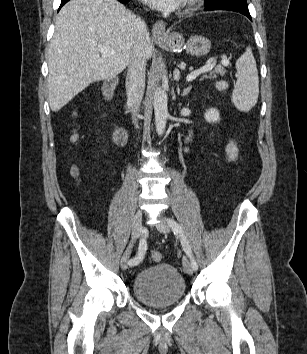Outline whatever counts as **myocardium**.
Masks as SVG:
<instances>
[{
	"mask_svg": "<svg viewBox=\"0 0 307 354\" xmlns=\"http://www.w3.org/2000/svg\"><path fill=\"white\" fill-rule=\"evenodd\" d=\"M200 0H185L183 3V11H189L193 9Z\"/></svg>",
	"mask_w": 307,
	"mask_h": 354,
	"instance_id": "f54148a6",
	"label": "myocardium"
}]
</instances>
